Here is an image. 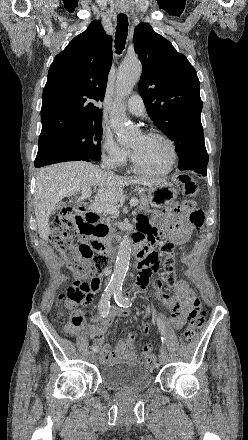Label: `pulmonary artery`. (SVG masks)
<instances>
[{
	"instance_id": "1",
	"label": "pulmonary artery",
	"mask_w": 248,
	"mask_h": 440,
	"mask_svg": "<svg viewBox=\"0 0 248 440\" xmlns=\"http://www.w3.org/2000/svg\"><path fill=\"white\" fill-rule=\"evenodd\" d=\"M128 112L135 116H142L145 113V105L140 95H132L126 104Z\"/></svg>"
}]
</instances>
